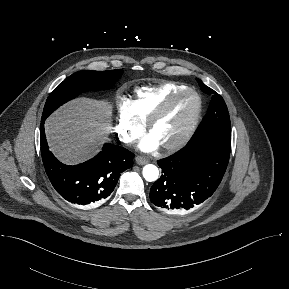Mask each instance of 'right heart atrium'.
Segmentation results:
<instances>
[{
  "label": "right heart atrium",
  "instance_id": "right-heart-atrium-1",
  "mask_svg": "<svg viewBox=\"0 0 289 289\" xmlns=\"http://www.w3.org/2000/svg\"><path fill=\"white\" fill-rule=\"evenodd\" d=\"M115 130L124 143L136 140L144 130V123L135 115L129 99L123 98L119 102Z\"/></svg>",
  "mask_w": 289,
  "mask_h": 289
}]
</instances>
